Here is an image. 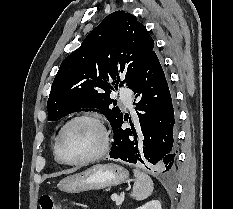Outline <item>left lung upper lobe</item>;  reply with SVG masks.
Returning a JSON list of instances; mask_svg holds the SVG:
<instances>
[{
    "mask_svg": "<svg viewBox=\"0 0 233 209\" xmlns=\"http://www.w3.org/2000/svg\"><path fill=\"white\" fill-rule=\"evenodd\" d=\"M147 29L130 13L109 14L61 63L47 102L48 120L57 121L79 108H97L112 125L122 112L110 93L121 78L131 80L154 53ZM114 105V106H112Z\"/></svg>",
    "mask_w": 233,
    "mask_h": 209,
    "instance_id": "5c2ea615",
    "label": "left lung upper lobe"
}]
</instances>
